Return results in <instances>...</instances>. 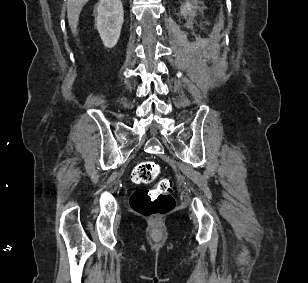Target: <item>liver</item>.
<instances>
[{
    "label": "liver",
    "instance_id": "liver-1",
    "mask_svg": "<svg viewBox=\"0 0 308 283\" xmlns=\"http://www.w3.org/2000/svg\"><path fill=\"white\" fill-rule=\"evenodd\" d=\"M88 1L89 0H67L68 23L74 35L77 34L80 12Z\"/></svg>",
    "mask_w": 308,
    "mask_h": 283
}]
</instances>
